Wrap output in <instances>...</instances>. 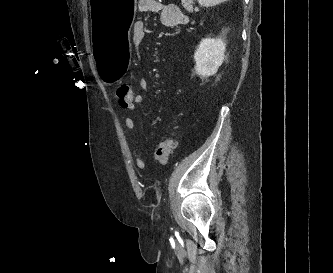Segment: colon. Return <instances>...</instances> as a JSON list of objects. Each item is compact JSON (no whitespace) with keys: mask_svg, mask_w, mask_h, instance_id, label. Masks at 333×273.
<instances>
[{"mask_svg":"<svg viewBox=\"0 0 333 273\" xmlns=\"http://www.w3.org/2000/svg\"><path fill=\"white\" fill-rule=\"evenodd\" d=\"M117 96L120 106L124 109H128L137 104L135 95L128 85L119 86L117 89ZM175 146L176 142L172 137L162 140L155 149V159L161 164L167 163L173 150L175 149Z\"/></svg>","mask_w":333,"mask_h":273,"instance_id":"5ec220e1","label":"colon"}]
</instances>
